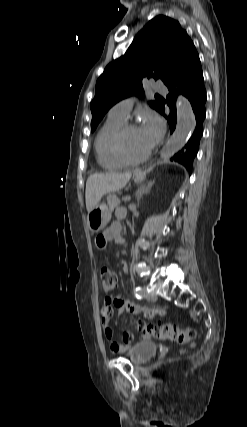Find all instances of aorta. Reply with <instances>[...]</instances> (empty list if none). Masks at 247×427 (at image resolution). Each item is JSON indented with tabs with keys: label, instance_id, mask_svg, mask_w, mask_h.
<instances>
[{
	"label": "aorta",
	"instance_id": "obj_1",
	"mask_svg": "<svg viewBox=\"0 0 247 427\" xmlns=\"http://www.w3.org/2000/svg\"><path fill=\"white\" fill-rule=\"evenodd\" d=\"M196 126L195 115L188 99L180 95L177 99V125L168 143L162 148L160 157L168 158L180 151Z\"/></svg>",
	"mask_w": 247,
	"mask_h": 427
}]
</instances>
